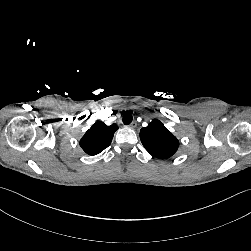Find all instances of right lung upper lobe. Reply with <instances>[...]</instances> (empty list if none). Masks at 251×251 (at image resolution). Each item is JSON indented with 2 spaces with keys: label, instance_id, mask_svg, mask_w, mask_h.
I'll return each mask as SVG.
<instances>
[{
  "label": "right lung upper lobe",
  "instance_id": "right-lung-upper-lobe-1",
  "mask_svg": "<svg viewBox=\"0 0 251 251\" xmlns=\"http://www.w3.org/2000/svg\"><path fill=\"white\" fill-rule=\"evenodd\" d=\"M117 129L116 124L107 126L105 123L97 121L81 138L80 147L88 155L99 154L111 144Z\"/></svg>",
  "mask_w": 251,
  "mask_h": 251
}]
</instances>
